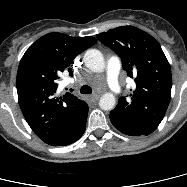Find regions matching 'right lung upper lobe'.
Listing matches in <instances>:
<instances>
[{
    "label": "right lung upper lobe",
    "mask_w": 187,
    "mask_h": 187,
    "mask_svg": "<svg viewBox=\"0 0 187 187\" xmlns=\"http://www.w3.org/2000/svg\"><path fill=\"white\" fill-rule=\"evenodd\" d=\"M97 42L94 37L49 33L23 55L17 72L22 113L35 134L49 145L64 139L88 111L85 101L71 93L59 95L57 80L74 58ZM72 75V74H71Z\"/></svg>",
    "instance_id": "1"
}]
</instances>
